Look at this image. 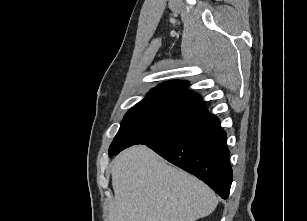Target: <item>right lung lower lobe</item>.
Here are the masks:
<instances>
[{
	"label": "right lung lower lobe",
	"mask_w": 307,
	"mask_h": 221,
	"mask_svg": "<svg viewBox=\"0 0 307 221\" xmlns=\"http://www.w3.org/2000/svg\"><path fill=\"white\" fill-rule=\"evenodd\" d=\"M146 145L204 181L223 199L228 198L233 181L230 152L216 116L208 113L188 129Z\"/></svg>",
	"instance_id": "98d812e1"
}]
</instances>
